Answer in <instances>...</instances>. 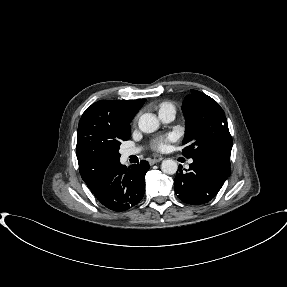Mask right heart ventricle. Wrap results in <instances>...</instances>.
<instances>
[{
	"label": "right heart ventricle",
	"mask_w": 287,
	"mask_h": 287,
	"mask_svg": "<svg viewBox=\"0 0 287 287\" xmlns=\"http://www.w3.org/2000/svg\"><path fill=\"white\" fill-rule=\"evenodd\" d=\"M159 112L163 111V110H167V109H172L175 111V107L172 103L170 102H162L159 104Z\"/></svg>",
	"instance_id": "1"
}]
</instances>
